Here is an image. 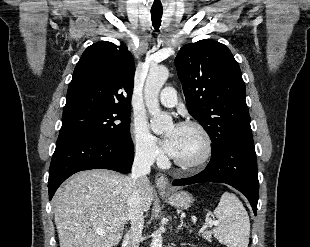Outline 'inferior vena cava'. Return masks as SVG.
<instances>
[{
	"instance_id": "inferior-vena-cava-1",
	"label": "inferior vena cava",
	"mask_w": 310,
	"mask_h": 247,
	"mask_svg": "<svg viewBox=\"0 0 310 247\" xmlns=\"http://www.w3.org/2000/svg\"><path fill=\"white\" fill-rule=\"evenodd\" d=\"M156 153L149 146L137 147L130 177H128V210L127 220L130 221V230L124 236L127 247H139L144 227V216L141 193L147 184V174L151 171Z\"/></svg>"
}]
</instances>
